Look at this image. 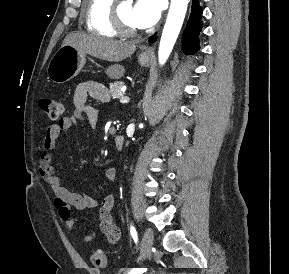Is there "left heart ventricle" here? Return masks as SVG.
Returning <instances> with one entry per match:
<instances>
[{"label":"left heart ventricle","instance_id":"b2bd125f","mask_svg":"<svg viewBox=\"0 0 289 274\" xmlns=\"http://www.w3.org/2000/svg\"><path fill=\"white\" fill-rule=\"evenodd\" d=\"M119 13L123 21L132 28H137L132 22V8L133 6L130 3H119Z\"/></svg>","mask_w":289,"mask_h":274}]
</instances>
